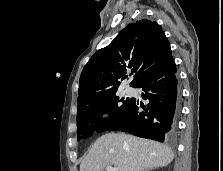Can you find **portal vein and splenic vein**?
<instances>
[{"mask_svg": "<svg viewBox=\"0 0 223 171\" xmlns=\"http://www.w3.org/2000/svg\"><path fill=\"white\" fill-rule=\"evenodd\" d=\"M107 171H119L117 167L106 166Z\"/></svg>", "mask_w": 223, "mask_h": 171, "instance_id": "obj_1", "label": "portal vein and splenic vein"}]
</instances>
